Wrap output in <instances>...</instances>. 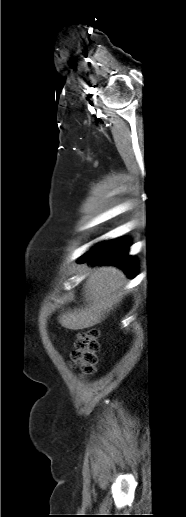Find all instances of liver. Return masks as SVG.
Returning a JSON list of instances; mask_svg holds the SVG:
<instances>
[{
	"instance_id": "liver-1",
	"label": "liver",
	"mask_w": 186,
	"mask_h": 517,
	"mask_svg": "<svg viewBox=\"0 0 186 517\" xmlns=\"http://www.w3.org/2000/svg\"><path fill=\"white\" fill-rule=\"evenodd\" d=\"M84 271L89 273L84 289L88 305L59 316V323L67 329L82 330L100 323L125 294L123 288L127 279L119 268L101 266L91 269L84 266Z\"/></svg>"
}]
</instances>
